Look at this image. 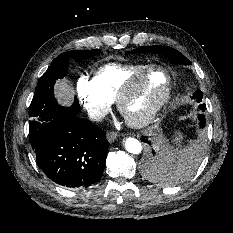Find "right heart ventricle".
<instances>
[{
  "label": "right heart ventricle",
  "instance_id": "1",
  "mask_svg": "<svg viewBox=\"0 0 233 233\" xmlns=\"http://www.w3.org/2000/svg\"><path fill=\"white\" fill-rule=\"evenodd\" d=\"M150 67L146 64H108L95 72L94 80L102 95L109 102H112L126 82L142 74Z\"/></svg>",
  "mask_w": 233,
  "mask_h": 233
}]
</instances>
